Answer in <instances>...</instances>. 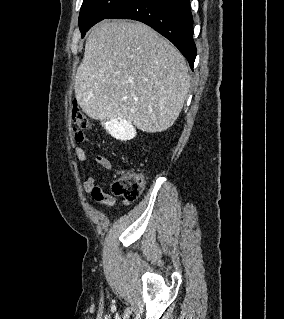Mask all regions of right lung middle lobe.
I'll list each match as a JSON object with an SVG mask.
<instances>
[{
	"label": "right lung middle lobe",
	"mask_w": 284,
	"mask_h": 319,
	"mask_svg": "<svg viewBox=\"0 0 284 319\" xmlns=\"http://www.w3.org/2000/svg\"><path fill=\"white\" fill-rule=\"evenodd\" d=\"M130 1L131 0H84L78 23L82 37H84L86 31L94 24L107 18Z\"/></svg>",
	"instance_id": "dd1d6c3e"
}]
</instances>
